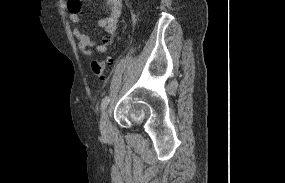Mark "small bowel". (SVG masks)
Wrapping results in <instances>:
<instances>
[{
    "label": "small bowel",
    "instance_id": "c3829d8e",
    "mask_svg": "<svg viewBox=\"0 0 285 183\" xmlns=\"http://www.w3.org/2000/svg\"><path fill=\"white\" fill-rule=\"evenodd\" d=\"M107 2L109 5V14L98 21L99 26L105 30L106 34L102 38V42L97 43L92 36L85 33L81 25H79L81 0H74L72 3L68 1L69 19L72 23L76 24L73 29V35L78 40L79 50L86 56H92L94 52L105 53L108 46L113 44L115 40L122 14V0H107ZM71 5L76 7L75 12L70 10Z\"/></svg>",
    "mask_w": 285,
    "mask_h": 183
}]
</instances>
